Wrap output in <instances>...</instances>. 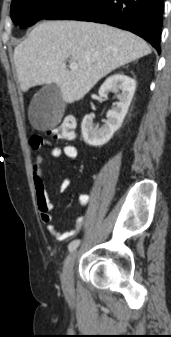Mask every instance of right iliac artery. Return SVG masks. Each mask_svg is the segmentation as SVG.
Here are the masks:
<instances>
[{
  "label": "right iliac artery",
  "mask_w": 171,
  "mask_h": 337,
  "mask_svg": "<svg viewBox=\"0 0 171 337\" xmlns=\"http://www.w3.org/2000/svg\"><path fill=\"white\" fill-rule=\"evenodd\" d=\"M80 244V240H74L72 241L69 246H68V249L70 252L74 251Z\"/></svg>",
  "instance_id": "1"
}]
</instances>
